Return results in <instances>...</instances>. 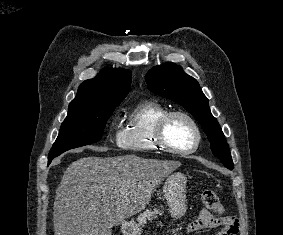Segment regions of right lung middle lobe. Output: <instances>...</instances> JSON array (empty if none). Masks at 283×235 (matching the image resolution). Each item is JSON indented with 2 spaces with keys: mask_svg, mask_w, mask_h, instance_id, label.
<instances>
[{
  "mask_svg": "<svg viewBox=\"0 0 283 235\" xmlns=\"http://www.w3.org/2000/svg\"><path fill=\"white\" fill-rule=\"evenodd\" d=\"M120 102L69 104L68 115L49 152L48 164L67 150L99 141L108 118Z\"/></svg>",
  "mask_w": 283,
  "mask_h": 235,
  "instance_id": "right-lung-middle-lobe-1",
  "label": "right lung middle lobe"
}]
</instances>
